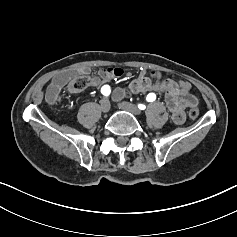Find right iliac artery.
<instances>
[{
    "instance_id": "82829eb1",
    "label": "right iliac artery",
    "mask_w": 237,
    "mask_h": 237,
    "mask_svg": "<svg viewBox=\"0 0 237 237\" xmlns=\"http://www.w3.org/2000/svg\"><path fill=\"white\" fill-rule=\"evenodd\" d=\"M101 93L105 96H108L110 93H111V89H110V86L109 85H104L102 88H101Z\"/></svg>"
}]
</instances>
